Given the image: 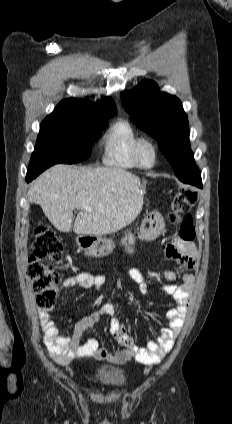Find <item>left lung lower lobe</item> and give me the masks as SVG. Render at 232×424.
Here are the masks:
<instances>
[{
	"label": "left lung lower lobe",
	"mask_w": 232,
	"mask_h": 424,
	"mask_svg": "<svg viewBox=\"0 0 232 424\" xmlns=\"http://www.w3.org/2000/svg\"><path fill=\"white\" fill-rule=\"evenodd\" d=\"M182 182L189 183V184L195 185V186L200 187V188L202 187V180H201V175H200L199 171L196 172V173H193L192 175H190L186 178H184L182 180Z\"/></svg>",
	"instance_id": "1"
}]
</instances>
